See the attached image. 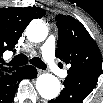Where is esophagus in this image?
I'll return each instance as SVG.
<instances>
[{"label": "esophagus", "mask_w": 103, "mask_h": 103, "mask_svg": "<svg viewBox=\"0 0 103 103\" xmlns=\"http://www.w3.org/2000/svg\"><path fill=\"white\" fill-rule=\"evenodd\" d=\"M42 73H44V71L41 69H38V74H42Z\"/></svg>", "instance_id": "esophagus-1"}]
</instances>
